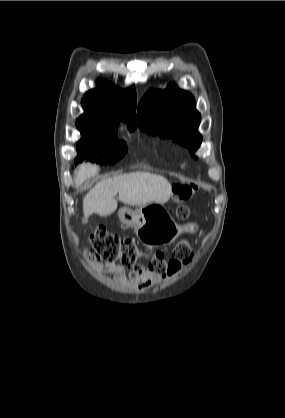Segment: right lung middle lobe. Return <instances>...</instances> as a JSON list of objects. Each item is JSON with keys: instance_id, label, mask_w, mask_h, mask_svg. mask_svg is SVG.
I'll list each match as a JSON object with an SVG mask.
<instances>
[{"instance_id": "1", "label": "right lung middle lobe", "mask_w": 285, "mask_h": 418, "mask_svg": "<svg viewBox=\"0 0 285 418\" xmlns=\"http://www.w3.org/2000/svg\"><path fill=\"white\" fill-rule=\"evenodd\" d=\"M77 128L82 137L77 143L78 157L75 163L86 159L100 164H114L125 155L127 146L117 139V126L79 119ZM129 129L133 131L135 128Z\"/></svg>"}]
</instances>
